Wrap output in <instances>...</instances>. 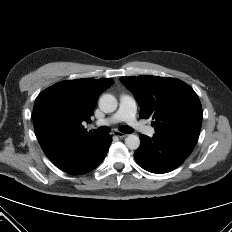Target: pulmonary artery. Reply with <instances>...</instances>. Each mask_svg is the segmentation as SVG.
Segmentation results:
<instances>
[{"label": "pulmonary artery", "instance_id": "e3ab8cb5", "mask_svg": "<svg viewBox=\"0 0 232 232\" xmlns=\"http://www.w3.org/2000/svg\"><path fill=\"white\" fill-rule=\"evenodd\" d=\"M120 122H126L132 128L148 136H152L155 133L152 127L144 125L137 120V103L135 99L129 95H122L120 97L119 108L115 114L111 117L97 120L95 124L97 126H107Z\"/></svg>", "mask_w": 232, "mask_h": 232}]
</instances>
